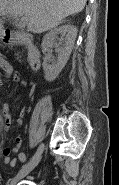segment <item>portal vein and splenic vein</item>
<instances>
[{
	"label": "portal vein and splenic vein",
	"instance_id": "portal-vein-and-splenic-vein-1",
	"mask_svg": "<svg viewBox=\"0 0 119 185\" xmlns=\"http://www.w3.org/2000/svg\"><path fill=\"white\" fill-rule=\"evenodd\" d=\"M14 18L18 20V17L17 16H14ZM26 25H27V23H26V21L24 19H22L21 21H19V24H18L19 27L22 28V27H25Z\"/></svg>",
	"mask_w": 119,
	"mask_h": 185
}]
</instances>
